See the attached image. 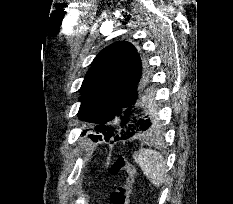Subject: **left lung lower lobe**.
Masks as SVG:
<instances>
[{
  "instance_id": "1",
  "label": "left lung lower lobe",
  "mask_w": 233,
  "mask_h": 204,
  "mask_svg": "<svg viewBox=\"0 0 233 204\" xmlns=\"http://www.w3.org/2000/svg\"><path fill=\"white\" fill-rule=\"evenodd\" d=\"M144 75L134 83L124 95L121 102V127L122 134L116 136V141L127 139L140 132H153L157 121L154 117L155 103L152 88L145 86Z\"/></svg>"
}]
</instances>
